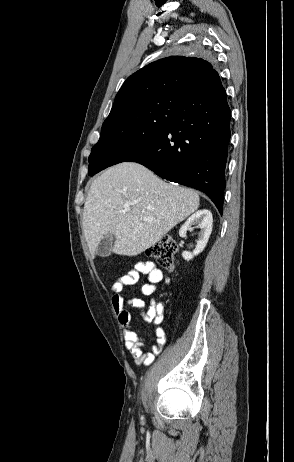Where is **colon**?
I'll use <instances>...</instances> for the list:
<instances>
[{"mask_svg": "<svg viewBox=\"0 0 294 462\" xmlns=\"http://www.w3.org/2000/svg\"><path fill=\"white\" fill-rule=\"evenodd\" d=\"M177 243L172 237H164L147 249V255L161 267L172 270L176 266Z\"/></svg>", "mask_w": 294, "mask_h": 462, "instance_id": "colon-1", "label": "colon"}]
</instances>
